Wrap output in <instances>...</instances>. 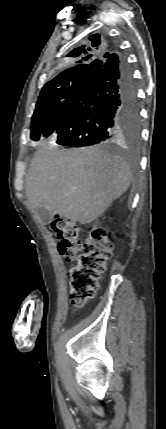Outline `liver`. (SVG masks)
Segmentation results:
<instances>
[{"mask_svg": "<svg viewBox=\"0 0 166 429\" xmlns=\"http://www.w3.org/2000/svg\"><path fill=\"white\" fill-rule=\"evenodd\" d=\"M132 173L119 156L97 147L40 149L26 176L32 210L46 208L63 218L89 224L129 188Z\"/></svg>", "mask_w": 166, "mask_h": 429, "instance_id": "6515ba94", "label": "liver"}]
</instances>
